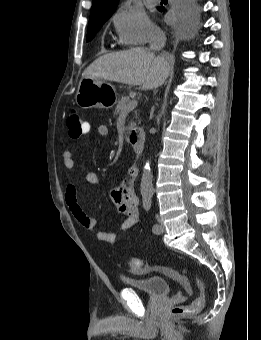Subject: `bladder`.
Masks as SVG:
<instances>
[{
	"instance_id": "31cf9c89",
	"label": "bladder",
	"mask_w": 261,
	"mask_h": 340,
	"mask_svg": "<svg viewBox=\"0 0 261 340\" xmlns=\"http://www.w3.org/2000/svg\"><path fill=\"white\" fill-rule=\"evenodd\" d=\"M120 280L127 287L154 298L168 296L171 289L170 282L166 278L157 275L144 278L121 276Z\"/></svg>"
}]
</instances>
